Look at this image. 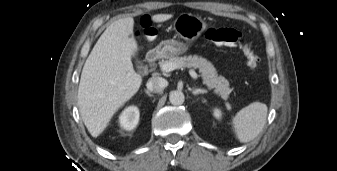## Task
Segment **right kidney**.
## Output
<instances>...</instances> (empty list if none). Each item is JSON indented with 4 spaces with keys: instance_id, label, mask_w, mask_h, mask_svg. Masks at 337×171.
<instances>
[{
    "instance_id": "ca27d5eb",
    "label": "right kidney",
    "mask_w": 337,
    "mask_h": 171,
    "mask_svg": "<svg viewBox=\"0 0 337 171\" xmlns=\"http://www.w3.org/2000/svg\"><path fill=\"white\" fill-rule=\"evenodd\" d=\"M139 122V110L136 106L127 107L119 116L120 127L126 131L133 130Z\"/></svg>"
}]
</instances>
